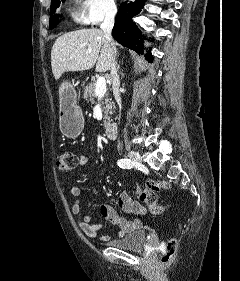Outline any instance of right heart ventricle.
Wrapping results in <instances>:
<instances>
[{"mask_svg":"<svg viewBox=\"0 0 240 281\" xmlns=\"http://www.w3.org/2000/svg\"><path fill=\"white\" fill-rule=\"evenodd\" d=\"M70 16L76 23H87V20L83 13V3L81 2V0H73V6L70 10Z\"/></svg>","mask_w":240,"mask_h":281,"instance_id":"obj_1","label":"right heart ventricle"}]
</instances>
